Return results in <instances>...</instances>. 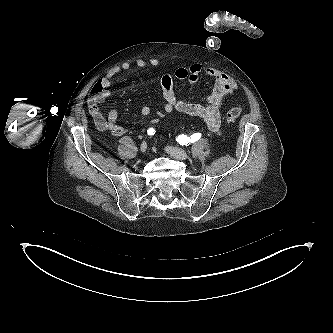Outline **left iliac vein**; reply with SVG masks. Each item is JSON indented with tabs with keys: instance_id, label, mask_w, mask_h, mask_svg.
<instances>
[{
	"instance_id": "1",
	"label": "left iliac vein",
	"mask_w": 333,
	"mask_h": 333,
	"mask_svg": "<svg viewBox=\"0 0 333 333\" xmlns=\"http://www.w3.org/2000/svg\"><path fill=\"white\" fill-rule=\"evenodd\" d=\"M165 150L170 156L179 160H185L189 157L186 151L178 147L167 146Z\"/></svg>"
}]
</instances>
